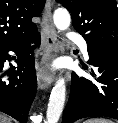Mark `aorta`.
Returning a JSON list of instances; mask_svg holds the SVG:
<instances>
[{"label":"aorta","instance_id":"aorta-1","mask_svg":"<svg viewBox=\"0 0 118 123\" xmlns=\"http://www.w3.org/2000/svg\"><path fill=\"white\" fill-rule=\"evenodd\" d=\"M53 21L59 31H65L69 28L71 17L64 8H58L53 15ZM66 84L65 79L60 77L52 88L47 113L46 123H57L65 104Z\"/></svg>","mask_w":118,"mask_h":123}]
</instances>
